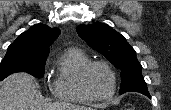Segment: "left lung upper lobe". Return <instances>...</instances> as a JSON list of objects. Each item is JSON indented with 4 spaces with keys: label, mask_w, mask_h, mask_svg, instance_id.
<instances>
[{
    "label": "left lung upper lobe",
    "mask_w": 171,
    "mask_h": 110,
    "mask_svg": "<svg viewBox=\"0 0 171 110\" xmlns=\"http://www.w3.org/2000/svg\"><path fill=\"white\" fill-rule=\"evenodd\" d=\"M76 31L92 49L121 70L120 94L135 91L150 96L136 52L120 33L104 23L79 25Z\"/></svg>",
    "instance_id": "obj_1"
}]
</instances>
